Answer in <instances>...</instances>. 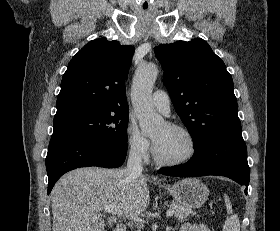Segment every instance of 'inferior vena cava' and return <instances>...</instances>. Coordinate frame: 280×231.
<instances>
[{
    "instance_id": "1",
    "label": "inferior vena cava",
    "mask_w": 280,
    "mask_h": 231,
    "mask_svg": "<svg viewBox=\"0 0 280 231\" xmlns=\"http://www.w3.org/2000/svg\"><path fill=\"white\" fill-rule=\"evenodd\" d=\"M126 171L130 175H141L142 171V149L139 143H133L128 155Z\"/></svg>"
}]
</instances>
